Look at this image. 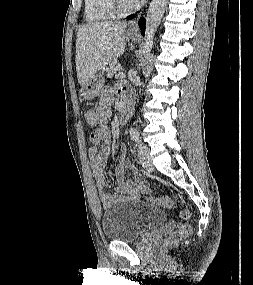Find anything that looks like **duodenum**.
Listing matches in <instances>:
<instances>
[{"instance_id": "obj_1", "label": "duodenum", "mask_w": 253, "mask_h": 285, "mask_svg": "<svg viewBox=\"0 0 253 285\" xmlns=\"http://www.w3.org/2000/svg\"><path fill=\"white\" fill-rule=\"evenodd\" d=\"M132 109V99L130 96H127L123 99L119 109V123L124 124L130 116Z\"/></svg>"}]
</instances>
